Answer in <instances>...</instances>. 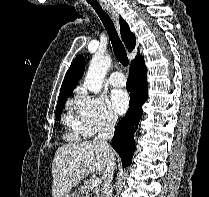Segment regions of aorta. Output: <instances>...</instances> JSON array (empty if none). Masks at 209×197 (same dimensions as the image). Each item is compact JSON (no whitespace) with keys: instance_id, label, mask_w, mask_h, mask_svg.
<instances>
[{"instance_id":"aorta-1","label":"aorta","mask_w":209,"mask_h":197,"mask_svg":"<svg viewBox=\"0 0 209 197\" xmlns=\"http://www.w3.org/2000/svg\"><path fill=\"white\" fill-rule=\"evenodd\" d=\"M111 65L109 55L95 54L90 62L84 85L94 94L100 92L103 79Z\"/></svg>"}]
</instances>
